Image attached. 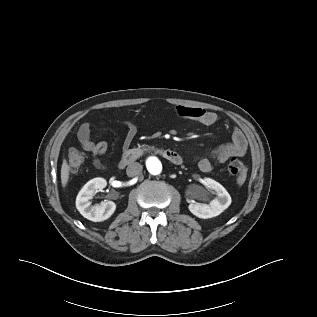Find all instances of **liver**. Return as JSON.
Instances as JSON below:
<instances>
[{
  "mask_svg": "<svg viewBox=\"0 0 317 317\" xmlns=\"http://www.w3.org/2000/svg\"><path fill=\"white\" fill-rule=\"evenodd\" d=\"M69 179V166L67 161L64 159L61 167V183L62 186L65 187L68 183Z\"/></svg>",
  "mask_w": 317,
  "mask_h": 317,
  "instance_id": "6515ba94",
  "label": "liver"
}]
</instances>
